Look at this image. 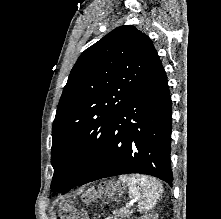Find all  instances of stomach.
<instances>
[{"mask_svg": "<svg viewBox=\"0 0 221 219\" xmlns=\"http://www.w3.org/2000/svg\"><path fill=\"white\" fill-rule=\"evenodd\" d=\"M110 181L112 183L113 180L111 179ZM109 191L112 192V195H123V190H120L115 182L111 184Z\"/></svg>", "mask_w": 221, "mask_h": 219, "instance_id": "1", "label": "stomach"}]
</instances>
